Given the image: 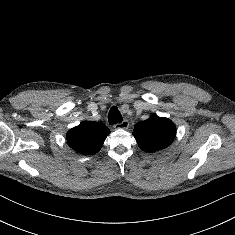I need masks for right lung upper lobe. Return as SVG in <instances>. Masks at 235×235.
<instances>
[{"label": "right lung upper lobe", "instance_id": "right-lung-upper-lobe-1", "mask_svg": "<svg viewBox=\"0 0 235 235\" xmlns=\"http://www.w3.org/2000/svg\"><path fill=\"white\" fill-rule=\"evenodd\" d=\"M109 133L102 122L83 121L67 132V141L77 153L89 155L100 150Z\"/></svg>", "mask_w": 235, "mask_h": 235}]
</instances>
